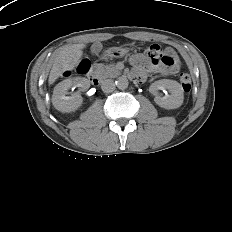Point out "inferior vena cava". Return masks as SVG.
<instances>
[{"label": "inferior vena cava", "instance_id": "1", "mask_svg": "<svg viewBox=\"0 0 232 232\" xmlns=\"http://www.w3.org/2000/svg\"><path fill=\"white\" fill-rule=\"evenodd\" d=\"M101 88L103 92L110 93L115 90V83L112 79H106L102 81Z\"/></svg>", "mask_w": 232, "mask_h": 232}]
</instances>
